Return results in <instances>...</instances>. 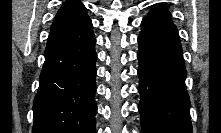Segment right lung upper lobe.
Returning a JSON list of instances; mask_svg holds the SVG:
<instances>
[{
    "label": "right lung upper lobe",
    "instance_id": "cb5924a9",
    "mask_svg": "<svg viewBox=\"0 0 221 133\" xmlns=\"http://www.w3.org/2000/svg\"><path fill=\"white\" fill-rule=\"evenodd\" d=\"M91 33H93L92 23L86 8L79 0H69L56 14L47 45L78 43Z\"/></svg>",
    "mask_w": 221,
    "mask_h": 133
}]
</instances>
